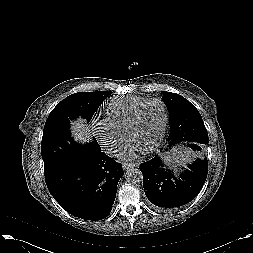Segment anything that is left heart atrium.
Here are the masks:
<instances>
[{"instance_id": "left-heart-atrium-1", "label": "left heart atrium", "mask_w": 253, "mask_h": 253, "mask_svg": "<svg viewBox=\"0 0 253 253\" xmlns=\"http://www.w3.org/2000/svg\"><path fill=\"white\" fill-rule=\"evenodd\" d=\"M144 151L143 147H141L136 142L129 140L127 144L120 151L119 156L122 159L132 160L142 154Z\"/></svg>"}]
</instances>
